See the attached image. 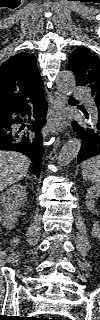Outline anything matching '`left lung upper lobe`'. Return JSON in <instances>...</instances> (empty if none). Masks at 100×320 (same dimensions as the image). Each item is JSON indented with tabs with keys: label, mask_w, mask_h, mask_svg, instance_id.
Listing matches in <instances>:
<instances>
[{
	"label": "left lung upper lobe",
	"mask_w": 100,
	"mask_h": 320,
	"mask_svg": "<svg viewBox=\"0 0 100 320\" xmlns=\"http://www.w3.org/2000/svg\"><path fill=\"white\" fill-rule=\"evenodd\" d=\"M68 69L76 75L77 85L92 90L98 110L100 109V59L86 47L76 48L68 58Z\"/></svg>",
	"instance_id": "obj_1"
}]
</instances>
